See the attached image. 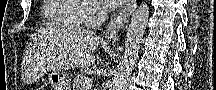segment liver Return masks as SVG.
I'll use <instances>...</instances> for the list:
<instances>
[{
  "label": "liver",
  "mask_w": 216,
  "mask_h": 90,
  "mask_svg": "<svg viewBox=\"0 0 216 90\" xmlns=\"http://www.w3.org/2000/svg\"><path fill=\"white\" fill-rule=\"evenodd\" d=\"M101 38L96 36L95 32L82 30V28H74L68 26L66 34H64V54L63 66L66 70L73 68H88L94 64L96 56H92L93 50L99 46Z\"/></svg>",
  "instance_id": "obj_1"
}]
</instances>
